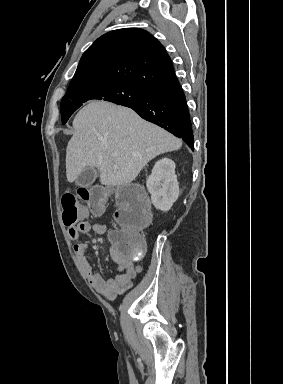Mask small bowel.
I'll return each instance as SVG.
<instances>
[{"label": "small bowel", "instance_id": "obj_1", "mask_svg": "<svg viewBox=\"0 0 283 384\" xmlns=\"http://www.w3.org/2000/svg\"><path fill=\"white\" fill-rule=\"evenodd\" d=\"M90 231L103 235L107 232V227L102 224H91L87 221H82L76 226L69 227L68 234L70 239L77 241L82 234L89 233ZM73 250L90 285L109 300H114L117 296L131 288L133 279L141 271L140 266L134 265L133 261L122 258L114 246H111L110 255L118 264L119 273L105 279L101 274L93 272L86 257L88 245L85 242L77 241L74 244Z\"/></svg>", "mask_w": 283, "mask_h": 384}]
</instances>
